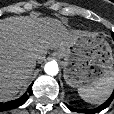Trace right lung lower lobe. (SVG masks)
I'll return each instance as SVG.
<instances>
[{
	"mask_svg": "<svg viewBox=\"0 0 114 114\" xmlns=\"http://www.w3.org/2000/svg\"><path fill=\"white\" fill-rule=\"evenodd\" d=\"M31 94H32V85L29 87L28 91L20 98L10 102L0 103V112L21 106L26 102V100L29 98Z\"/></svg>",
	"mask_w": 114,
	"mask_h": 114,
	"instance_id": "1",
	"label": "right lung lower lobe"
}]
</instances>
